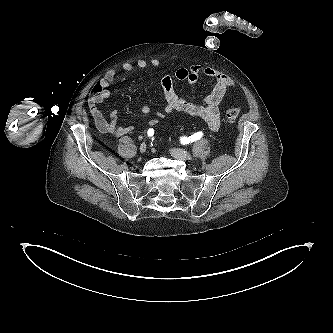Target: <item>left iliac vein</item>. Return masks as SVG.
I'll return each instance as SVG.
<instances>
[{"label": "left iliac vein", "mask_w": 333, "mask_h": 333, "mask_svg": "<svg viewBox=\"0 0 333 333\" xmlns=\"http://www.w3.org/2000/svg\"><path fill=\"white\" fill-rule=\"evenodd\" d=\"M171 155L179 160H188L191 159V154L183 149H179V148H174L172 150H170Z\"/></svg>", "instance_id": "1"}]
</instances>
